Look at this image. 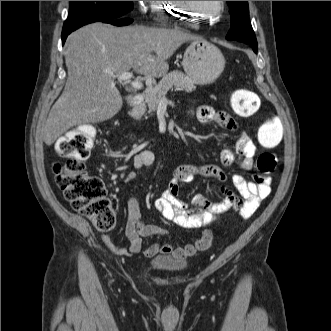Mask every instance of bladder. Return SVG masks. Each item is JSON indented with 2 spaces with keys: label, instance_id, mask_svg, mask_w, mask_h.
<instances>
[{
  "label": "bladder",
  "instance_id": "obj_1",
  "mask_svg": "<svg viewBox=\"0 0 331 331\" xmlns=\"http://www.w3.org/2000/svg\"><path fill=\"white\" fill-rule=\"evenodd\" d=\"M150 265L161 272H180L187 266V262L169 255H158L151 259Z\"/></svg>",
  "mask_w": 331,
  "mask_h": 331
}]
</instances>
